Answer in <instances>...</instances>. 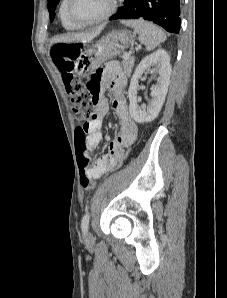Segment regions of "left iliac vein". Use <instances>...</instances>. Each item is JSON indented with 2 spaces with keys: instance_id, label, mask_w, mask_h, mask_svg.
<instances>
[{
  "instance_id": "left-iliac-vein-1",
  "label": "left iliac vein",
  "mask_w": 227,
  "mask_h": 298,
  "mask_svg": "<svg viewBox=\"0 0 227 298\" xmlns=\"http://www.w3.org/2000/svg\"><path fill=\"white\" fill-rule=\"evenodd\" d=\"M85 240L87 243H91L93 241V236L91 233H87L86 236H85Z\"/></svg>"
}]
</instances>
